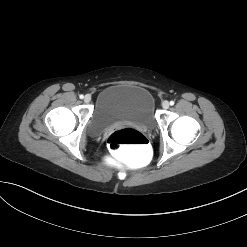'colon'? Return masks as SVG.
Wrapping results in <instances>:
<instances>
[{"label": "colon", "instance_id": "1", "mask_svg": "<svg viewBox=\"0 0 247 247\" xmlns=\"http://www.w3.org/2000/svg\"><path fill=\"white\" fill-rule=\"evenodd\" d=\"M107 145L123 162L134 166H145L152 159V148L146 136L133 128L114 131L108 137Z\"/></svg>", "mask_w": 247, "mask_h": 247}]
</instances>
